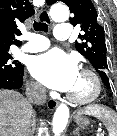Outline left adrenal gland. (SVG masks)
<instances>
[{"instance_id": "1", "label": "left adrenal gland", "mask_w": 117, "mask_h": 136, "mask_svg": "<svg viewBox=\"0 0 117 136\" xmlns=\"http://www.w3.org/2000/svg\"><path fill=\"white\" fill-rule=\"evenodd\" d=\"M79 130H80L79 127H77V128L75 129V131H73V134L76 135V136H80Z\"/></svg>"}]
</instances>
